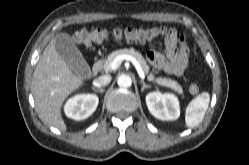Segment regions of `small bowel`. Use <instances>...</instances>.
<instances>
[{
    "label": "small bowel",
    "mask_w": 249,
    "mask_h": 165,
    "mask_svg": "<svg viewBox=\"0 0 249 165\" xmlns=\"http://www.w3.org/2000/svg\"><path fill=\"white\" fill-rule=\"evenodd\" d=\"M165 52L163 55L158 51H149V62L168 74L183 75L188 65V51L184 40L180 39V34L174 28L169 29L166 34Z\"/></svg>",
    "instance_id": "1"
}]
</instances>
